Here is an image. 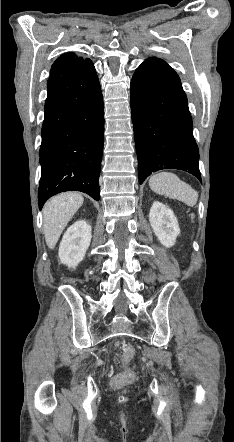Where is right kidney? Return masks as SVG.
Here are the masks:
<instances>
[{
    "instance_id": "ca27d5eb",
    "label": "right kidney",
    "mask_w": 234,
    "mask_h": 442,
    "mask_svg": "<svg viewBox=\"0 0 234 442\" xmlns=\"http://www.w3.org/2000/svg\"><path fill=\"white\" fill-rule=\"evenodd\" d=\"M91 226L85 220L76 221L64 233L59 246L61 263L76 267L84 259L91 242Z\"/></svg>"
}]
</instances>
